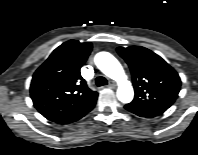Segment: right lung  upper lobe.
I'll return each mask as SVG.
<instances>
[{
	"mask_svg": "<svg viewBox=\"0 0 198 155\" xmlns=\"http://www.w3.org/2000/svg\"><path fill=\"white\" fill-rule=\"evenodd\" d=\"M91 50V42L69 40L36 70L30 93L34 106L45 118L52 121L64 117L98 96L80 74Z\"/></svg>",
	"mask_w": 198,
	"mask_h": 155,
	"instance_id": "cb5924a9",
	"label": "right lung upper lobe"
}]
</instances>
